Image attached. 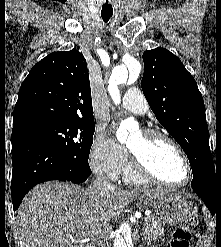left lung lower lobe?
I'll list each match as a JSON object with an SVG mask.
<instances>
[{
    "mask_svg": "<svg viewBox=\"0 0 221 247\" xmlns=\"http://www.w3.org/2000/svg\"><path fill=\"white\" fill-rule=\"evenodd\" d=\"M191 186L214 215L221 205V169L211 166L203 173L193 176Z\"/></svg>",
    "mask_w": 221,
    "mask_h": 247,
    "instance_id": "0a47b994",
    "label": "left lung lower lobe"
}]
</instances>
